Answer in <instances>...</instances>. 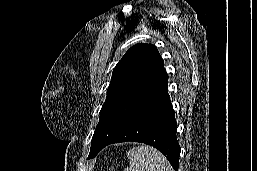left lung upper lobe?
Here are the masks:
<instances>
[{
    "label": "left lung upper lobe",
    "instance_id": "left-lung-upper-lobe-1",
    "mask_svg": "<svg viewBox=\"0 0 257 171\" xmlns=\"http://www.w3.org/2000/svg\"><path fill=\"white\" fill-rule=\"evenodd\" d=\"M167 80L163 59L154 45L139 43L128 49L113 70L90 153L117 136Z\"/></svg>",
    "mask_w": 257,
    "mask_h": 171
}]
</instances>
